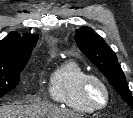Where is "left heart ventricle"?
<instances>
[{"label":"left heart ventricle","mask_w":133,"mask_h":118,"mask_svg":"<svg viewBox=\"0 0 133 118\" xmlns=\"http://www.w3.org/2000/svg\"><path fill=\"white\" fill-rule=\"evenodd\" d=\"M92 97L96 103L101 104L104 101L103 90L99 86L94 85L92 88Z\"/></svg>","instance_id":"1"}]
</instances>
